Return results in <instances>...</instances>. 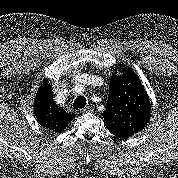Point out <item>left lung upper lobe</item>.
<instances>
[{
	"label": "left lung upper lobe",
	"mask_w": 178,
	"mask_h": 178,
	"mask_svg": "<svg viewBox=\"0 0 178 178\" xmlns=\"http://www.w3.org/2000/svg\"><path fill=\"white\" fill-rule=\"evenodd\" d=\"M103 118L106 127L131 133L142 131L150 120L151 105L138 76L131 68L112 74Z\"/></svg>",
	"instance_id": "obj_1"
}]
</instances>
